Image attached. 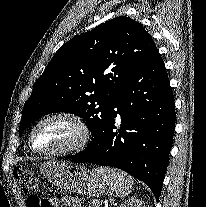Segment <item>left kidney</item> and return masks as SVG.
I'll use <instances>...</instances> for the list:
<instances>
[{
  "mask_svg": "<svg viewBox=\"0 0 206 207\" xmlns=\"http://www.w3.org/2000/svg\"><path fill=\"white\" fill-rule=\"evenodd\" d=\"M120 207H145L143 201L137 198H130L124 202Z\"/></svg>",
  "mask_w": 206,
  "mask_h": 207,
  "instance_id": "obj_1",
  "label": "left kidney"
}]
</instances>
